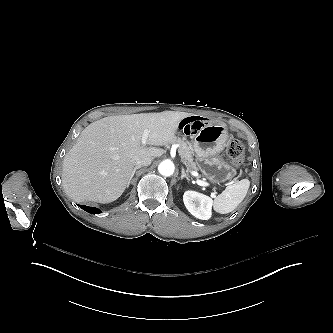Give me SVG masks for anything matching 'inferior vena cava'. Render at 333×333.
I'll return each instance as SVG.
<instances>
[{"mask_svg": "<svg viewBox=\"0 0 333 333\" xmlns=\"http://www.w3.org/2000/svg\"><path fill=\"white\" fill-rule=\"evenodd\" d=\"M153 158L151 157H145L141 158L137 161L136 166H149L152 163Z\"/></svg>", "mask_w": 333, "mask_h": 333, "instance_id": "inferior-vena-cava-1", "label": "inferior vena cava"}]
</instances>
